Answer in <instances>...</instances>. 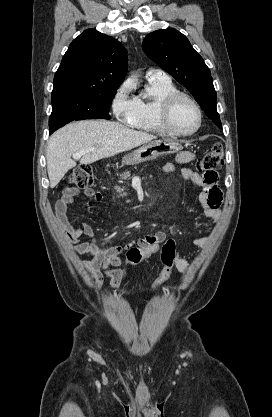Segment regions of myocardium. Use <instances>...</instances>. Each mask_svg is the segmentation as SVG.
Masks as SVG:
<instances>
[{
  "label": "myocardium",
  "mask_w": 272,
  "mask_h": 417,
  "mask_svg": "<svg viewBox=\"0 0 272 417\" xmlns=\"http://www.w3.org/2000/svg\"><path fill=\"white\" fill-rule=\"evenodd\" d=\"M181 100H186L190 102L197 111V125L192 131L189 132L177 131L171 123L173 109L175 105ZM158 118L160 125L168 134L176 137H190L201 128L203 122V112L199 103L192 96L184 92L177 91L169 94L162 100L158 110Z\"/></svg>",
  "instance_id": "myocardium-1"
}]
</instances>
